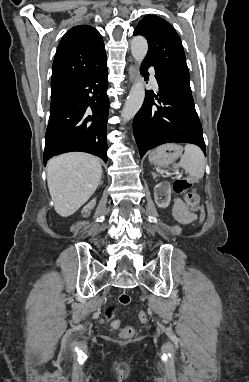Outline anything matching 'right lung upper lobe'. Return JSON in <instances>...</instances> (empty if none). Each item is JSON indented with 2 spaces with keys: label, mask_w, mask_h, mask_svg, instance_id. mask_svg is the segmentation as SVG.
<instances>
[{
  "label": "right lung upper lobe",
  "mask_w": 249,
  "mask_h": 382,
  "mask_svg": "<svg viewBox=\"0 0 249 382\" xmlns=\"http://www.w3.org/2000/svg\"><path fill=\"white\" fill-rule=\"evenodd\" d=\"M106 56L100 33L89 25L70 29L57 48L51 79V100L58 98Z\"/></svg>",
  "instance_id": "obj_1"
}]
</instances>
